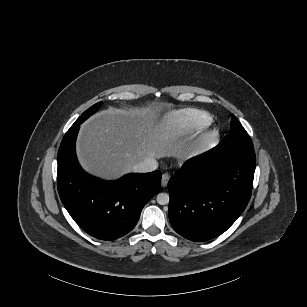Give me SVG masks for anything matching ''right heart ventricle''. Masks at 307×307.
Wrapping results in <instances>:
<instances>
[{
	"label": "right heart ventricle",
	"mask_w": 307,
	"mask_h": 307,
	"mask_svg": "<svg viewBox=\"0 0 307 307\" xmlns=\"http://www.w3.org/2000/svg\"><path fill=\"white\" fill-rule=\"evenodd\" d=\"M173 122L182 124L179 128H166L159 135L157 145L163 149L176 147L187 141L191 135L206 128L212 122L210 114L202 111L181 110L168 116Z\"/></svg>",
	"instance_id": "1"
}]
</instances>
